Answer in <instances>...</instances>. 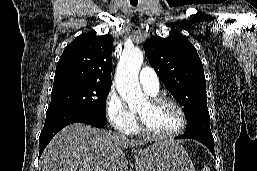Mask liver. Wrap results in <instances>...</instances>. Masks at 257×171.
<instances>
[{"mask_svg": "<svg viewBox=\"0 0 257 171\" xmlns=\"http://www.w3.org/2000/svg\"><path fill=\"white\" fill-rule=\"evenodd\" d=\"M146 143L74 123L57 133L45 148L41 171H128L124 150Z\"/></svg>", "mask_w": 257, "mask_h": 171, "instance_id": "liver-1", "label": "liver"}]
</instances>
